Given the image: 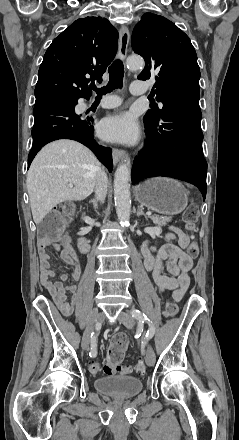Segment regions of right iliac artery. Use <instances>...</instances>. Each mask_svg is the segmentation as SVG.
<instances>
[{"label":"right iliac artery","instance_id":"1","mask_svg":"<svg viewBox=\"0 0 239 440\" xmlns=\"http://www.w3.org/2000/svg\"><path fill=\"white\" fill-rule=\"evenodd\" d=\"M97 355V349H96V334L92 332L91 334V350L89 353V356L94 358Z\"/></svg>","mask_w":239,"mask_h":440}]
</instances>
